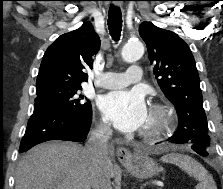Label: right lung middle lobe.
Segmentation results:
<instances>
[{
	"label": "right lung middle lobe",
	"mask_w": 223,
	"mask_h": 189,
	"mask_svg": "<svg viewBox=\"0 0 223 189\" xmlns=\"http://www.w3.org/2000/svg\"><path fill=\"white\" fill-rule=\"evenodd\" d=\"M82 87L57 88L36 92L35 105H51L61 107L85 115L92 111L91 102L85 101L83 95L78 94Z\"/></svg>",
	"instance_id": "1"
}]
</instances>
